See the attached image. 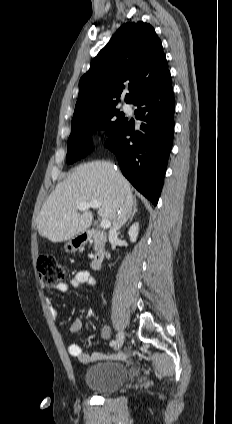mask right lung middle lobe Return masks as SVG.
Listing matches in <instances>:
<instances>
[{
  "label": "right lung middle lobe",
  "instance_id": "1",
  "mask_svg": "<svg viewBox=\"0 0 232 424\" xmlns=\"http://www.w3.org/2000/svg\"><path fill=\"white\" fill-rule=\"evenodd\" d=\"M128 119L120 113L116 105L90 110L73 118L71 135L68 139L67 164L85 157L92 150L93 131L105 129L109 137L122 128Z\"/></svg>",
  "mask_w": 232,
  "mask_h": 424
}]
</instances>
